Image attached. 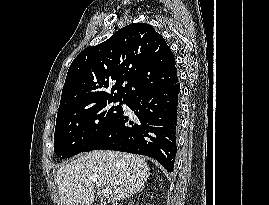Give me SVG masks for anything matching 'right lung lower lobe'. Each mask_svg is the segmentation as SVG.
<instances>
[{
	"label": "right lung lower lobe",
	"mask_w": 269,
	"mask_h": 205,
	"mask_svg": "<svg viewBox=\"0 0 269 205\" xmlns=\"http://www.w3.org/2000/svg\"><path fill=\"white\" fill-rule=\"evenodd\" d=\"M179 100V83L132 98L126 105L138 121L131 122L123 112L83 152L104 149L146 155L172 172L177 153Z\"/></svg>",
	"instance_id": "obj_1"
}]
</instances>
